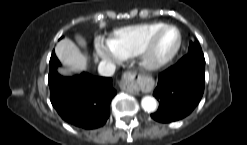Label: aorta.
Returning <instances> with one entry per match:
<instances>
[{
  "instance_id": "aorta-1",
  "label": "aorta",
  "mask_w": 247,
  "mask_h": 145,
  "mask_svg": "<svg viewBox=\"0 0 247 145\" xmlns=\"http://www.w3.org/2000/svg\"><path fill=\"white\" fill-rule=\"evenodd\" d=\"M141 106L146 112H154L157 109V101L152 96H145L142 98Z\"/></svg>"
}]
</instances>
